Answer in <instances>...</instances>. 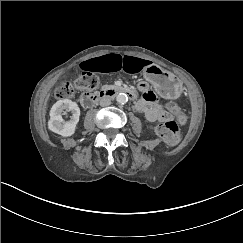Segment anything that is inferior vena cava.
Segmentation results:
<instances>
[{"label":"inferior vena cava","mask_w":243,"mask_h":243,"mask_svg":"<svg viewBox=\"0 0 243 243\" xmlns=\"http://www.w3.org/2000/svg\"><path fill=\"white\" fill-rule=\"evenodd\" d=\"M99 104L101 107H106L111 104V100L108 97L104 96V97H101Z\"/></svg>","instance_id":"obj_1"}]
</instances>
